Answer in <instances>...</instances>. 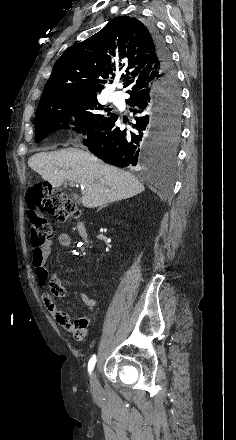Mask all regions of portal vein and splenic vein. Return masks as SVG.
I'll use <instances>...</instances> for the list:
<instances>
[{
	"label": "portal vein and splenic vein",
	"instance_id": "portal-vein-and-splenic-vein-1",
	"mask_svg": "<svg viewBox=\"0 0 236 440\" xmlns=\"http://www.w3.org/2000/svg\"><path fill=\"white\" fill-rule=\"evenodd\" d=\"M70 185L75 186L74 182H70ZM76 186L78 187V184H76Z\"/></svg>",
	"mask_w": 236,
	"mask_h": 440
}]
</instances>
